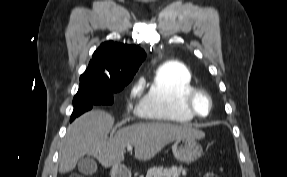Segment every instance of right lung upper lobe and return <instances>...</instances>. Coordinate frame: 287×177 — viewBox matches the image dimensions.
<instances>
[{"label": "right lung upper lobe", "mask_w": 287, "mask_h": 177, "mask_svg": "<svg viewBox=\"0 0 287 177\" xmlns=\"http://www.w3.org/2000/svg\"><path fill=\"white\" fill-rule=\"evenodd\" d=\"M146 53L136 45L107 41L94 52L83 74L89 75L104 86L132 80Z\"/></svg>", "instance_id": "cb5924a9"}]
</instances>
